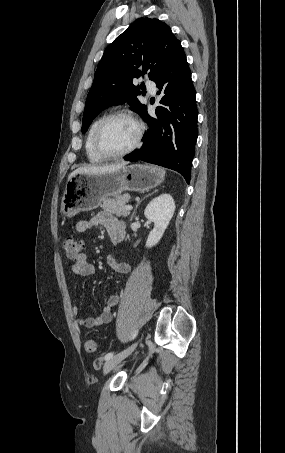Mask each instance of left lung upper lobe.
Here are the masks:
<instances>
[{"label":"left lung upper lobe","instance_id":"5c2ea615","mask_svg":"<svg viewBox=\"0 0 285 453\" xmlns=\"http://www.w3.org/2000/svg\"><path fill=\"white\" fill-rule=\"evenodd\" d=\"M180 41L158 19L139 18L104 51L87 95L82 122L85 133L105 108L127 102L138 114L147 108L137 99L134 78L148 74L153 80Z\"/></svg>","mask_w":285,"mask_h":453}]
</instances>
